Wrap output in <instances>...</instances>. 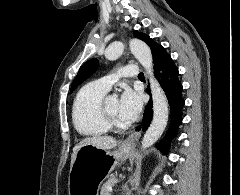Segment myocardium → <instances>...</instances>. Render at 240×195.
Listing matches in <instances>:
<instances>
[{
    "instance_id": "obj_1",
    "label": "myocardium",
    "mask_w": 240,
    "mask_h": 195,
    "mask_svg": "<svg viewBox=\"0 0 240 195\" xmlns=\"http://www.w3.org/2000/svg\"><path fill=\"white\" fill-rule=\"evenodd\" d=\"M111 96H106L102 102V115L103 118L105 120V122L107 123V125L111 128H116V129H120L124 126V122L121 118L115 116L110 108H109V100H110Z\"/></svg>"
}]
</instances>
